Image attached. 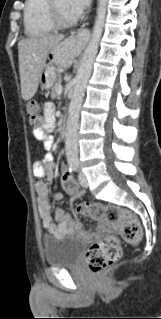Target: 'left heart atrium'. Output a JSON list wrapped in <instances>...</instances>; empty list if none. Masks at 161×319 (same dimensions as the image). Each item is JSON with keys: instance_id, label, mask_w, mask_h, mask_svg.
<instances>
[{"instance_id": "left-heart-atrium-1", "label": "left heart atrium", "mask_w": 161, "mask_h": 319, "mask_svg": "<svg viewBox=\"0 0 161 319\" xmlns=\"http://www.w3.org/2000/svg\"><path fill=\"white\" fill-rule=\"evenodd\" d=\"M67 8L74 16H79L90 3V0H66Z\"/></svg>"}]
</instances>
